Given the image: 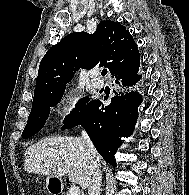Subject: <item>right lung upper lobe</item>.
Instances as JSON below:
<instances>
[{
  "label": "right lung upper lobe",
  "mask_w": 189,
  "mask_h": 195,
  "mask_svg": "<svg viewBox=\"0 0 189 195\" xmlns=\"http://www.w3.org/2000/svg\"><path fill=\"white\" fill-rule=\"evenodd\" d=\"M140 56L132 35L120 23L102 21L93 34L75 32L54 45L41 60L33 103L65 90L75 72L96 65L125 77L139 67Z\"/></svg>",
  "instance_id": "right-lung-upper-lobe-1"
}]
</instances>
